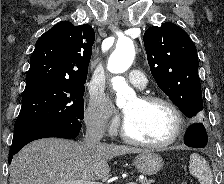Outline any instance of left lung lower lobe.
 Segmentation results:
<instances>
[{
    "label": "left lung lower lobe",
    "mask_w": 224,
    "mask_h": 184,
    "mask_svg": "<svg viewBox=\"0 0 224 184\" xmlns=\"http://www.w3.org/2000/svg\"><path fill=\"white\" fill-rule=\"evenodd\" d=\"M207 139L205 127L202 123L198 122L189 128L184 141L189 147H204L207 144Z\"/></svg>",
    "instance_id": "1"
}]
</instances>
